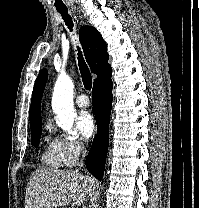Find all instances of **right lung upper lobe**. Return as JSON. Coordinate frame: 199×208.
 I'll return each mask as SVG.
<instances>
[{
    "mask_svg": "<svg viewBox=\"0 0 199 208\" xmlns=\"http://www.w3.org/2000/svg\"><path fill=\"white\" fill-rule=\"evenodd\" d=\"M79 39L91 71L97 74L94 85L110 79L112 69L108 64L107 46L101 34L92 26H83L79 30ZM47 77V70L43 69L35 81L29 110L31 130L41 126L40 104Z\"/></svg>",
    "mask_w": 199,
    "mask_h": 208,
    "instance_id": "right-lung-upper-lobe-1",
    "label": "right lung upper lobe"
}]
</instances>
